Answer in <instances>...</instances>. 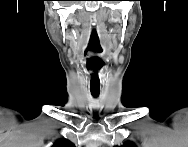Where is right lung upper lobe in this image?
<instances>
[{"instance_id":"cb5924a9","label":"right lung upper lobe","mask_w":188,"mask_h":147,"mask_svg":"<svg viewBox=\"0 0 188 147\" xmlns=\"http://www.w3.org/2000/svg\"><path fill=\"white\" fill-rule=\"evenodd\" d=\"M74 145L65 139L58 140L52 147H73Z\"/></svg>"}]
</instances>
